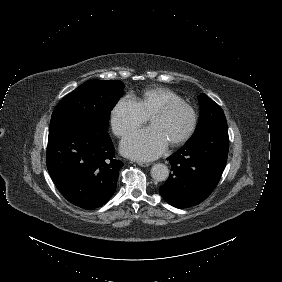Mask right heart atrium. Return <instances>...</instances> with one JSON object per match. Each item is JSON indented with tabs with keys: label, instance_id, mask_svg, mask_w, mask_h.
I'll return each mask as SVG.
<instances>
[{
	"label": "right heart atrium",
	"instance_id": "d8ad5b80",
	"mask_svg": "<svg viewBox=\"0 0 282 282\" xmlns=\"http://www.w3.org/2000/svg\"><path fill=\"white\" fill-rule=\"evenodd\" d=\"M147 119L135 100L125 97L111 112L112 130L117 136L123 137L131 130L143 125Z\"/></svg>",
	"mask_w": 282,
	"mask_h": 282
}]
</instances>
